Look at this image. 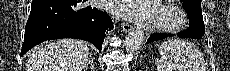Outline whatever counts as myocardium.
Here are the masks:
<instances>
[{"label":"myocardium","mask_w":230,"mask_h":71,"mask_svg":"<svg viewBox=\"0 0 230 71\" xmlns=\"http://www.w3.org/2000/svg\"><path fill=\"white\" fill-rule=\"evenodd\" d=\"M156 10L161 15L152 22L151 28L157 32H177L187 23L185 11L172 2L161 3L158 1ZM165 15H168V18H165Z\"/></svg>","instance_id":"obj_1"}]
</instances>
